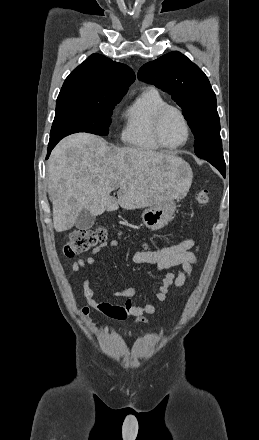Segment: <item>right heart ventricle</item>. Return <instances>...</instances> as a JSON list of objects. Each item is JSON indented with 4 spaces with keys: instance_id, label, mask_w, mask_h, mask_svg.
<instances>
[{
    "instance_id": "1",
    "label": "right heart ventricle",
    "mask_w": 259,
    "mask_h": 440,
    "mask_svg": "<svg viewBox=\"0 0 259 440\" xmlns=\"http://www.w3.org/2000/svg\"><path fill=\"white\" fill-rule=\"evenodd\" d=\"M167 104L154 89L139 94L123 113L122 141L140 151L157 152L162 147L156 142L153 124L157 112Z\"/></svg>"
}]
</instances>
